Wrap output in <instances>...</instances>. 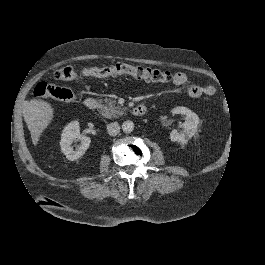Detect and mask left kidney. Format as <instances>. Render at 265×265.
<instances>
[{
  "instance_id": "1",
  "label": "left kidney",
  "mask_w": 265,
  "mask_h": 265,
  "mask_svg": "<svg viewBox=\"0 0 265 265\" xmlns=\"http://www.w3.org/2000/svg\"><path fill=\"white\" fill-rule=\"evenodd\" d=\"M173 114L185 115V122L182 124L183 131L178 133L177 130H172L170 133L171 141H177L182 144L188 142L189 139L197 132V127L199 124V117L196 113L192 112L186 107H176L171 110Z\"/></svg>"
}]
</instances>
